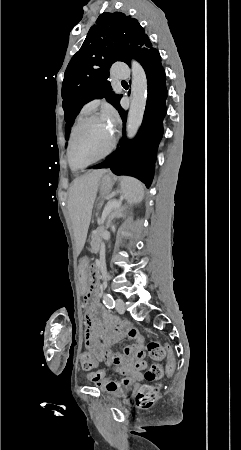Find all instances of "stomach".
I'll return each instance as SVG.
<instances>
[{"mask_svg": "<svg viewBox=\"0 0 241 450\" xmlns=\"http://www.w3.org/2000/svg\"><path fill=\"white\" fill-rule=\"evenodd\" d=\"M112 178L109 175L103 176L99 181V189L102 196L107 195L112 189ZM88 259L82 258L79 262V273H78V286L82 292H85L87 288V280H88Z\"/></svg>", "mask_w": 241, "mask_h": 450, "instance_id": "0dacf381", "label": "stomach"}]
</instances>
